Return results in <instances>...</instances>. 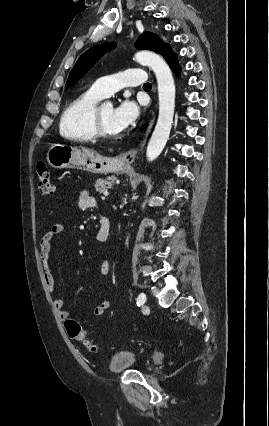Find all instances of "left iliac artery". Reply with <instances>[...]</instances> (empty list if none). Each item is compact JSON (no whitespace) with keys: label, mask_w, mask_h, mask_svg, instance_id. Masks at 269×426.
<instances>
[{"label":"left iliac artery","mask_w":269,"mask_h":426,"mask_svg":"<svg viewBox=\"0 0 269 426\" xmlns=\"http://www.w3.org/2000/svg\"><path fill=\"white\" fill-rule=\"evenodd\" d=\"M146 301V295L144 293H141L137 298V306H141Z\"/></svg>","instance_id":"left-iliac-artery-1"}]
</instances>
